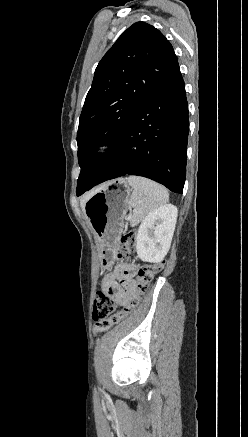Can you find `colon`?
<instances>
[{"label": "colon", "instance_id": "colon-1", "mask_svg": "<svg viewBox=\"0 0 248 437\" xmlns=\"http://www.w3.org/2000/svg\"><path fill=\"white\" fill-rule=\"evenodd\" d=\"M135 235L133 232L124 234L115 249L117 260H125L132 253L135 246ZM164 262L154 263L143 266L138 272V282L136 292L129 303L121 310L115 312V302L105 291H97L93 305V319L95 321V331L102 333L125 319L139 304L142 297L147 292L154 277L162 271Z\"/></svg>", "mask_w": 248, "mask_h": 437}]
</instances>
